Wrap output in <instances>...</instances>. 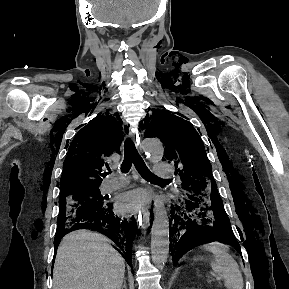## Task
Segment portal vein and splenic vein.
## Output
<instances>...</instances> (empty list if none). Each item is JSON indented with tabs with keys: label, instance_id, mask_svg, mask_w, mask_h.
Segmentation results:
<instances>
[{
	"label": "portal vein and splenic vein",
	"instance_id": "obj_1",
	"mask_svg": "<svg viewBox=\"0 0 289 289\" xmlns=\"http://www.w3.org/2000/svg\"><path fill=\"white\" fill-rule=\"evenodd\" d=\"M216 280L220 281V278H219V277H217V278H216Z\"/></svg>",
	"mask_w": 289,
	"mask_h": 289
}]
</instances>
